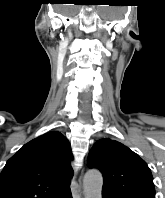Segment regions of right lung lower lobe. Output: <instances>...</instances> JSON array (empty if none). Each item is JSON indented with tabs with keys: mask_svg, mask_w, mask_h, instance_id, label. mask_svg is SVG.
Instances as JSON below:
<instances>
[{
	"mask_svg": "<svg viewBox=\"0 0 165 198\" xmlns=\"http://www.w3.org/2000/svg\"><path fill=\"white\" fill-rule=\"evenodd\" d=\"M67 198H72V195H71V193L69 194V196H68Z\"/></svg>",
	"mask_w": 165,
	"mask_h": 198,
	"instance_id": "right-lung-lower-lobe-1",
	"label": "right lung lower lobe"
}]
</instances>
